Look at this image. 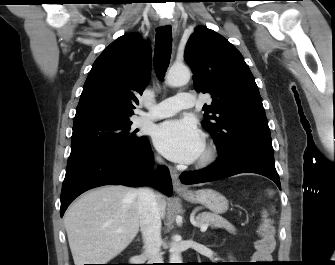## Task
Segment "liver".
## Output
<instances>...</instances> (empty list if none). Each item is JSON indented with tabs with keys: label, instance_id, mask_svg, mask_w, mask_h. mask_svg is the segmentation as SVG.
I'll return each mask as SVG.
<instances>
[{
	"label": "liver",
	"instance_id": "6515ba94",
	"mask_svg": "<svg viewBox=\"0 0 335 265\" xmlns=\"http://www.w3.org/2000/svg\"><path fill=\"white\" fill-rule=\"evenodd\" d=\"M156 200L164 217L166 200L162 194ZM64 225L75 265L106 264L139 231L138 190L115 185L91 190L68 208Z\"/></svg>",
	"mask_w": 335,
	"mask_h": 265
}]
</instances>
